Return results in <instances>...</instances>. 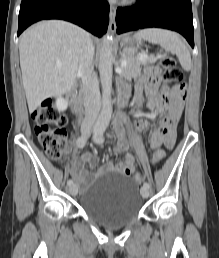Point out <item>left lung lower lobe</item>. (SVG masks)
<instances>
[{
    "label": "left lung lower lobe",
    "mask_w": 219,
    "mask_h": 258,
    "mask_svg": "<svg viewBox=\"0 0 219 258\" xmlns=\"http://www.w3.org/2000/svg\"><path fill=\"white\" fill-rule=\"evenodd\" d=\"M116 24L119 34L148 27L174 30L194 47L190 0H139L131 7L117 9Z\"/></svg>",
    "instance_id": "obj_1"
}]
</instances>
